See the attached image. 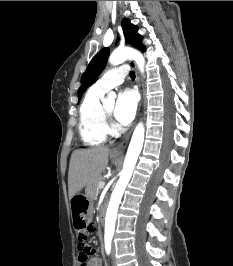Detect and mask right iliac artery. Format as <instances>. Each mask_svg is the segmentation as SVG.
Returning <instances> with one entry per match:
<instances>
[{
  "mask_svg": "<svg viewBox=\"0 0 233 266\" xmlns=\"http://www.w3.org/2000/svg\"><path fill=\"white\" fill-rule=\"evenodd\" d=\"M105 249L107 254L109 255L111 252V239H105Z\"/></svg>",
  "mask_w": 233,
  "mask_h": 266,
  "instance_id": "82829eb1",
  "label": "right iliac artery"
}]
</instances>
